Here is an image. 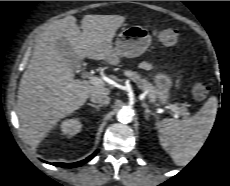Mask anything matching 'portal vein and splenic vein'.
Returning <instances> with one entry per match:
<instances>
[{
  "instance_id": "obj_1",
  "label": "portal vein and splenic vein",
  "mask_w": 230,
  "mask_h": 186,
  "mask_svg": "<svg viewBox=\"0 0 230 186\" xmlns=\"http://www.w3.org/2000/svg\"><path fill=\"white\" fill-rule=\"evenodd\" d=\"M89 82L95 86H103L104 85V81L96 76H91L89 77ZM170 109L176 114H179V108L175 105H170Z\"/></svg>"
}]
</instances>
